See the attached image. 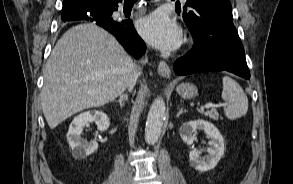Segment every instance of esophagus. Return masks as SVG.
Segmentation results:
<instances>
[{
	"instance_id": "34e87169",
	"label": "esophagus",
	"mask_w": 293,
	"mask_h": 184,
	"mask_svg": "<svg viewBox=\"0 0 293 184\" xmlns=\"http://www.w3.org/2000/svg\"><path fill=\"white\" fill-rule=\"evenodd\" d=\"M158 74L164 78H169L171 76L170 67L164 61L158 63Z\"/></svg>"
}]
</instances>
